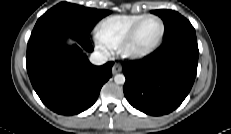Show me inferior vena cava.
<instances>
[{
    "label": "inferior vena cava",
    "instance_id": "1",
    "mask_svg": "<svg viewBox=\"0 0 231 134\" xmlns=\"http://www.w3.org/2000/svg\"><path fill=\"white\" fill-rule=\"evenodd\" d=\"M108 61V58L106 55L99 51H95L90 56V62L94 65H102Z\"/></svg>",
    "mask_w": 231,
    "mask_h": 134
}]
</instances>
